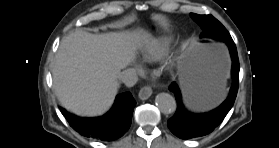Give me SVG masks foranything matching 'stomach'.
<instances>
[{
	"instance_id": "0dacf381",
	"label": "stomach",
	"mask_w": 279,
	"mask_h": 148,
	"mask_svg": "<svg viewBox=\"0 0 279 148\" xmlns=\"http://www.w3.org/2000/svg\"><path fill=\"white\" fill-rule=\"evenodd\" d=\"M227 44L218 36H205L197 43L184 46L181 76L187 104L195 110L214 106L223 96V85L228 66Z\"/></svg>"
}]
</instances>
